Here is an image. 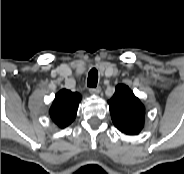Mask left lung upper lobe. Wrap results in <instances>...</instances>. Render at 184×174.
Masks as SVG:
<instances>
[{
  "label": "left lung upper lobe",
  "instance_id": "1",
  "mask_svg": "<svg viewBox=\"0 0 184 174\" xmlns=\"http://www.w3.org/2000/svg\"><path fill=\"white\" fill-rule=\"evenodd\" d=\"M108 104L118 130L128 135L139 134L144 125L145 107L128 86L117 85Z\"/></svg>",
  "mask_w": 184,
  "mask_h": 174
}]
</instances>
